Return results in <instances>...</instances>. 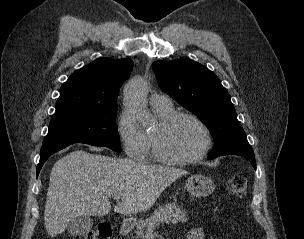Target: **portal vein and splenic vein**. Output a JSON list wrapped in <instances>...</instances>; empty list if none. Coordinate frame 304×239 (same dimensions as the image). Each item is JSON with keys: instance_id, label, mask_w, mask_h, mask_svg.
I'll list each match as a JSON object with an SVG mask.
<instances>
[{"instance_id": "18ae733b", "label": "portal vein and splenic vein", "mask_w": 304, "mask_h": 239, "mask_svg": "<svg viewBox=\"0 0 304 239\" xmlns=\"http://www.w3.org/2000/svg\"><path fill=\"white\" fill-rule=\"evenodd\" d=\"M122 197V193H115L113 194V198L116 200V201H119ZM151 230V229H150Z\"/></svg>"}]
</instances>
